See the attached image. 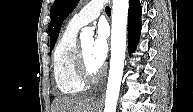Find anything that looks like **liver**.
<instances>
[{
	"label": "liver",
	"instance_id": "6515ba94",
	"mask_svg": "<svg viewBox=\"0 0 193 112\" xmlns=\"http://www.w3.org/2000/svg\"><path fill=\"white\" fill-rule=\"evenodd\" d=\"M92 97H60L52 105L51 112H94Z\"/></svg>",
	"mask_w": 193,
	"mask_h": 112
}]
</instances>
